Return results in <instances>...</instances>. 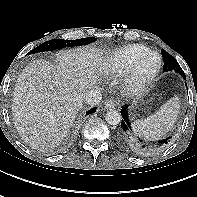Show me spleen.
Segmentation results:
<instances>
[{
    "label": "spleen",
    "mask_w": 197,
    "mask_h": 197,
    "mask_svg": "<svg viewBox=\"0 0 197 197\" xmlns=\"http://www.w3.org/2000/svg\"><path fill=\"white\" fill-rule=\"evenodd\" d=\"M180 101L177 96L164 103L160 109L145 119L133 122V129L149 139H159L173 127L179 114Z\"/></svg>",
    "instance_id": "3e777b00"
}]
</instances>
